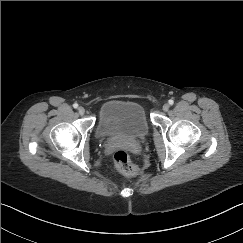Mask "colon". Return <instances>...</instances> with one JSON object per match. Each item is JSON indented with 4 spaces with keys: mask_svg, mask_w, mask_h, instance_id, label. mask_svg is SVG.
I'll return each instance as SVG.
<instances>
[{
    "mask_svg": "<svg viewBox=\"0 0 243 243\" xmlns=\"http://www.w3.org/2000/svg\"><path fill=\"white\" fill-rule=\"evenodd\" d=\"M114 163L116 168L126 176H137L139 175V169L135 166L125 150H118L114 154Z\"/></svg>",
    "mask_w": 243,
    "mask_h": 243,
    "instance_id": "obj_1",
    "label": "colon"
}]
</instances>
